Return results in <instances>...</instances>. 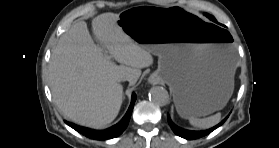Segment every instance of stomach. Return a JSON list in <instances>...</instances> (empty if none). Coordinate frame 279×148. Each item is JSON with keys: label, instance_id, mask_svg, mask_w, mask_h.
<instances>
[{"label": "stomach", "instance_id": "obj_1", "mask_svg": "<svg viewBox=\"0 0 279 148\" xmlns=\"http://www.w3.org/2000/svg\"><path fill=\"white\" fill-rule=\"evenodd\" d=\"M118 25L135 43L158 55L156 76L170 86L183 118L222 109L234 89L231 39L197 14L169 5L126 8Z\"/></svg>", "mask_w": 279, "mask_h": 148}]
</instances>
